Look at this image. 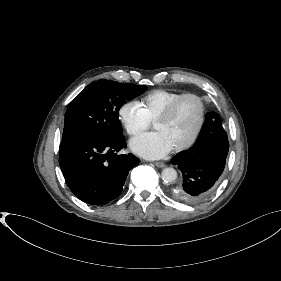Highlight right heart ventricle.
Returning a JSON list of instances; mask_svg holds the SVG:
<instances>
[{"label":"right heart ventricle","mask_w":281,"mask_h":281,"mask_svg":"<svg viewBox=\"0 0 281 281\" xmlns=\"http://www.w3.org/2000/svg\"><path fill=\"white\" fill-rule=\"evenodd\" d=\"M181 95H183V93L165 89H156L142 96L138 103L144 111L147 119L152 122L170 102Z\"/></svg>","instance_id":"obj_1"}]
</instances>
